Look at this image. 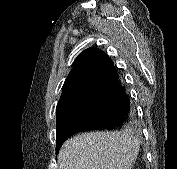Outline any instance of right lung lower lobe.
<instances>
[{
	"mask_svg": "<svg viewBox=\"0 0 177 169\" xmlns=\"http://www.w3.org/2000/svg\"><path fill=\"white\" fill-rule=\"evenodd\" d=\"M89 100L74 117L57 125L56 152L73 134L94 129H115L131 121L134 109L115 66L109 62L86 83Z\"/></svg>",
	"mask_w": 177,
	"mask_h": 169,
	"instance_id": "obj_1",
	"label": "right lung lower lobe"
}]
</instances>
